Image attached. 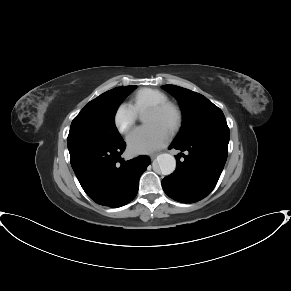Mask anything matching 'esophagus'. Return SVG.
<instances>
[{"label": "esophagus", "instance_id": "34e87169", "mask_svg": "<svg viewBox=\"0 0 291 291\" xmlns=\"http://www.w3.org/2000/svg\"><path fill=\"white\" fill-rule=\"evenodd\" d=\"M157 155H158V153H152V154L150 155V158H151V159H154V158H156Z\"/></svg>", "mask_w": 291, "mask_h": 291}]
</instances>
